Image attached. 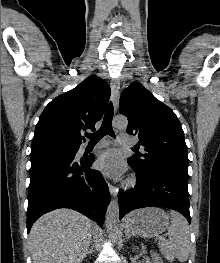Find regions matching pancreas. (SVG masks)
Instances as JSON below:
<instances>
[{"label":"pancreas","instance_id":"obj_1","mask_svg":"<svg viewBox=\"0 0 220 263\" xmlns=\"http://www.w3.org/2000/svg\"><path fill=\"white\" fill-rule=\"evenodd\" d=\"M162 250H168V246L165 245V246H162ZM168 258H171L169 255H167Z\"/></svg>","mask_w":220,"mask_h":263}]
</instances>
